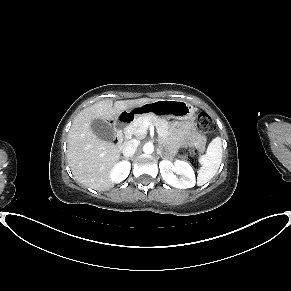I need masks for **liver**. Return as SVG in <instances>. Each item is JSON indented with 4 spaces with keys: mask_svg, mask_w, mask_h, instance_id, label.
<instances>
[{
    "mask_svg": "<svg viewBox=\"0 0 291 291\" xmlns=\"http://www.w3.org/2000/svg\"><path fill=\"white\" fill-rule=\"evenodd\" d=\"M140 98L135 100H103L85 108L74 119L68 133L67 159L74 178L86 187L105 191L114 183L110 179L112 167L120 159V149L114 143L98 138L91 129L94 119L114 120L123 111L154 101Z\"/></svg>",
    "mask_w": 291,
    "mask_h": 291,
    "instance_id": "liver-1",
    "label": "liver"
}]
</instances>
